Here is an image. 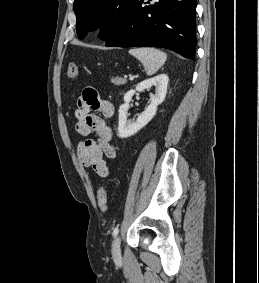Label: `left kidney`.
I'll list each match as a JSON object with an SVG mask.
<instances>
[{
    "mask_svg": "<svg viewBox=\"0 0 259 283\" xmlns=\"http://www.w3.org/2000/svg\"><path fill=\"white\" fill-rule=\"evenodd\" d=\"M168 81L169 78L166 74H160L151 79L142 81L135 89L128 91L124 95V104H122L119 108V138H128L134 135L152 120L157 112L158 105L161 104L166 97ZM152 86H155V94L150 95V105L135 121L127 120L129 103L135 92H141L145 89L149 90Z\"/></svg>",
    "mask_w": 259,
    "mask_h": 283,
    "instance_id": "1",
    "label": "left kidney"
}]
</instances>
